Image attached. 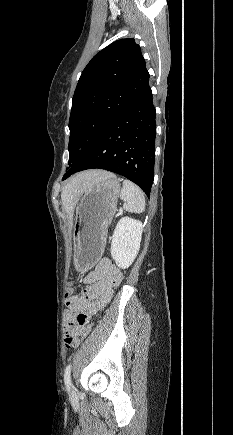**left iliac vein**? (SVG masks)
Returning a JSON list of instances; mask_svg holds the SVG:
<instances>
[{
	"mask_svg": "<svg viewBox=\"0 0 233 435\" xmlns=\"http://www.w3.org/2000/svg\"><path fill=\"white\" fill-rule=\"evenodd\" d=\"M71 393H74V389H73V386H71Z\"/></svg>",
	"mask_w": 233,
	"mask_h": 435,
	"instance_id": "4c4485c4",
	"label": "left iliac vein"
}]
</instances>
